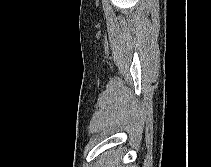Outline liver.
<instances>
[{
  "label": "liver",
  "instance_id": "1",
  "mask_svg": "<svg viewBox=\"0 0 211 167\" xmlns=\"http://www.w3.org/2000/svg\"><path fill=\"white\" fill-rule=\"evenodd\" d=\"M109 153L102 157L99 162L97 167H118V160L117 159H109Z\"/></svg>",
  "mask_w": 211,
  "mask_h": 167
}]
</instances>
